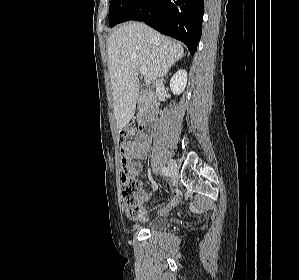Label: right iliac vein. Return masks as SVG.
Wrapping results in <instances>:
<instances>
[{"label": "right iliac vein", "instance_id": "obj_1", "mask_svg": "<svg viewBox=\"0 0 299 280\" xmlns=\"http://www.w3.org/2000/svg\"><path fill=\"white\" fill-rule=\"evenodd\" d=\"M168 167H169L170 172L172 174L173 185H175V183L178 180V166H177V163L174 160H170L169 163H168Z\"/></svg>", "mask_w": 299, "mask_h": 280}]
</instances>
